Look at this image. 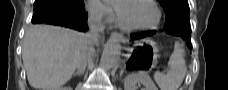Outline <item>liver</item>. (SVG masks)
Segmentation results:
<instances>
[{
	"instance_id": "1",
	"label": "liver",
	"mask_w": 228,
	"mask_h": 90,
	"mask_svg": "<svg viewBox=\"0 0 228 90\" xmlns=\"http://www.w3.org/2000/svg\"><path fill=\"white\" fill-rule=\"evenodd\" d=\"M85 34L54 26H33L25 34L23 64L29 84L57 90L69 81L87 46Z\"/></svg>"
}]
</instances>
